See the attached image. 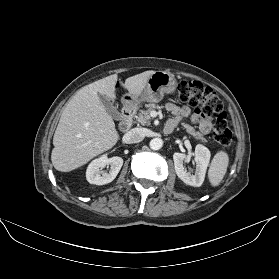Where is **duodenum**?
Masks as SVG:
<instances>
[{"mask_svg": "<svg viewBox=\"0 0 279 279\" xmlns=\"http://www.w3.org/2000/svg\"><path fill=\"white\" fill-rule=\"evenodd\" d=\"M132 119H133V110L131 109H125L123 111V117L120 122V129L122 131H127L131 125H132Z\"/></svg>", "mask_w": 279, "mask_h": 279, "instance_id": "obj_1", "label": "duodenum"}]
</instances>
